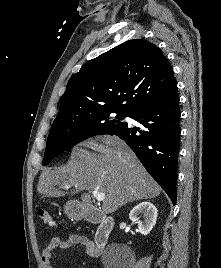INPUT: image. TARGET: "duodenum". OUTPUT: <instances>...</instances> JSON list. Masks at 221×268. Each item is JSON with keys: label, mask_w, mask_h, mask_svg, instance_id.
<instances>
[{"label": "duodenum", "mask_w": 221, "mask_h": 268, "mask_svg": "<svg viewBox=\"0 0 221 268\" xmlns=\"http://www.w3.org/2000/svg\"><path fill=\"white\" fill-rule=\"evenodd\" d=\"M80 215L84 220L98 224L94 244L96 249L100 252L107 244L113 230V219L104 215L99 209L92 206H84L81 209Z\"/></svg>", "instance_id": "obj_1"}]
</instances>
